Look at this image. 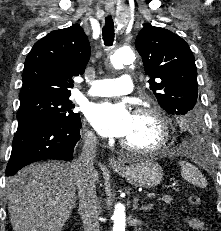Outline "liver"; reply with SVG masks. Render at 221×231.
Returning <instances> with one entry per match:
<instances>
[{
    "instance_id": "obj_1",
    "label": "liver",
    "mask_w": 221,
    "mask_h": 231,
    "mask_svg": "<svg viewBox=\"0 0 221 231\" xmlns=\"http://www.w3.org/2000/svg\"><path fill=\"white\" fill-rule=\"evenodd\" d=\"M6 190L14 231H61L77 200L74 163L31 164L6 181Z\"/></svg>"
}]
</instances>
